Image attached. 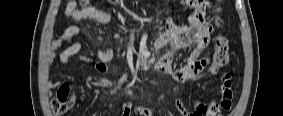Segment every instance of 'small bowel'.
<instances>
[{
    "label": "small bowel",
    "instance_id": "1",
    "mask_svg": "<svg viewBox=\"0 0 283 116\" xmlns=\"http://www.w3.org/2000/svg\"><path fill=\"white\" fill-rule=\"evenodd\" d=\"M207 1L187 0L185 4H195L194 12L188 18L185 26H176L168 17L165 20V32L161 36L160 41L164 44L174 42L185 46L189 43H197V48L191 54L187 63L178 68L173 69L172 60L170 56H164L156 63V69L166 74H172L174 79L181 84H192L204 77V71L209 63L207 58H201V54L208 46L212 27L207 19L204 3ZM65 13L68 17L75 21L93 20L100 24L109 23L112 19V12L110 10L103 11L94 6H88L79 8L75 1H70L65 9ZM81 34V28L77 25L68 26L61 37L55 40L52 45V50H58L63 43L67 46L59 53V60L61 64H69L72 57L77 55L82 49V43L75 40V37ZM99 57L101 63L97 68L100 72L106 71L105 61L112 58V52L109 50L100 51ZM84 62L88 61V58H83ZM227 99H232L231 94V78L230 83L227 84L226 80L222 76L221 79V102H225ZM176 105L180 115L182 116H214L210 112V105H206L197 100L194 105L193 111H188L181 98L176 99ZM153 116V112L143 106H134L131 103H125L123 105V116Z\"/></svg>",
    "mask_w": 283,
    "mask_h": 116
}]
</instances>
